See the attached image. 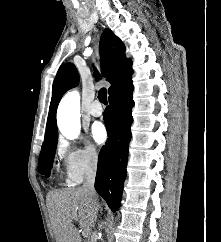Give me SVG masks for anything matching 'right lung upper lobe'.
Here are the masks:
<instances>
[{"instance_id": "obj_1", "label": "right lung upper lobe", "mask_w": 221, "mask_h": 242, "mask_svg": "<svg viewBox=\"0 0 221 242\" xmlns=\"http://www.w3.org/2000/svg\"><path fill=\"white\" fill-rule=\"evenodd\" d=\"M102 56V74L111 83L109 94L114 87L132 72V62L125 56V46L122 41L110 30L105 29L100 39ZM94 76H99L98 72ZM79 75L72 63L61 66L57 72L52 87V99L46 126L45 138L57 136L56 111L63 94L78 85Z\"/></svg>"}]
</instances>
